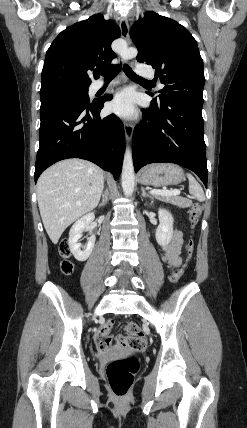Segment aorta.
I'll return each instance as SVG.
<instances>
[{
    "mask_svg": "<svg viewBox=\"0 0 247 428\" xmlns=\"http://www.w3.org/2000/svg\"><path fill=\"white\" fill-rule=\"evenodd\" d=\"M119 54L123 61L134 58L137 55V51L133 48H128L127 45H123L119 49ZM135 175L134 165L132 159V153L129 148H126L122 167V188L126 196H131L134 190Z\"/></svg>",
    "mask_w": 247,
    "mask_h": 428,
    "instance_id": "1",
    "label": "aorta"
}]
</instances>
